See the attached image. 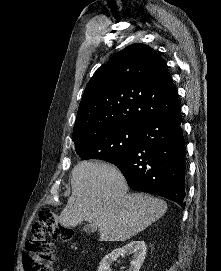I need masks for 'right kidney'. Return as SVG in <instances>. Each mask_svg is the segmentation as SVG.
<instances>
[{
  "instance_id": "right-kidney-1",
  "label": "right kidney",
  "mask_w": 221,
  "mask_h": 271,
  "mask_svg": "<svg viewBox=\"0 0 221 271\" xmlns=\"http://www.w3.org/2000/svg\"><path fill=\"white\" fill-rule=\"evenodd\" d=\"M146 249L145 241H134L133 239V241L126 243L123 247H116V249H113V251L104 255L97 271H112L111 265L113 261H116L117 257H120V255H125V253H129L132 257L130 267L127 271H139L145 259Z\"/></svg>"
}]
</instances>
